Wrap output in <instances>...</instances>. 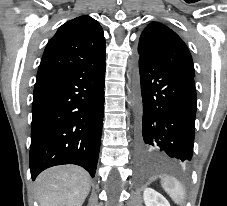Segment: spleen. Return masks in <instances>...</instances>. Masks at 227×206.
Returning a JSON list of instances; mask_svg holds the SVG:
<instances>
[{
    "mask_svg": "<svg viewBox=\"0 0 227 206\" xmlns=\"http://www.w3.org/2000/svg\"><path fill=\"white\" fill-rule=\"evenodd\" d=\"M162 187L175 203L179 204L184 200L185 190L175 177L166 176L162 180Z\"/></svg>",
    "mask_w": 227,
    "mask_h": 206,
    "instance_id": "obj_1",
    "label": "spleen"
}]
</instances>
